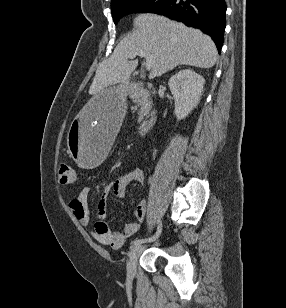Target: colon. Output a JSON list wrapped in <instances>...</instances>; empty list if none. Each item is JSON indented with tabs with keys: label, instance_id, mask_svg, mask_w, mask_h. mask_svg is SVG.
<instances>
[{
	"label": "colon",
	"instance_id": "obj_1",
	"mask_svg": "<svg viewBox=\"0 0 286 308\" xmlns=\"http://www.w3.org/2000/svg\"><path fill=\"white\" fill-rule=\"evenodd\" d=\"M58 180L62 185H73L77 181L75 169L67 164L60 165L58 169Z\"/></svg>",
	"mask_w": 286,
	"mask_h": 308
}]
</instances>
